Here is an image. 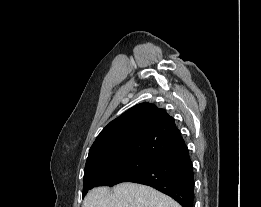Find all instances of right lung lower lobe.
Returning <instances> with one entry per match:
<instances>
[{"label": "right lung lower lobe", "mask_w": 261, "mask_h": 207, "mask_svg": "<svg viewBox=\"0 0 261 207\" xmlns=\"http://www.w3.org/2000/svg\"><path fill=\"white\" fill-rule=\"evenodd\" d=\"M123 182L151 186L172 197L183 207H193L194 172L188 148L160 159Z\"/></svg>", "instance_id": "1"}]
</instances>
